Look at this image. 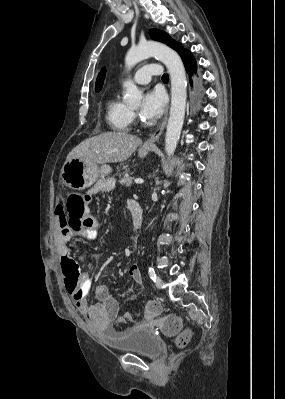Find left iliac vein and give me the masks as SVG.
<instances>
[{"instance_id": "4c4485c4", "label": "left iliac vein", "mask_w": 285, "mask_h": 399, "mask_svg": "<svg viewBox=\"0 0 285 399\" xmlns=\"http://www.w3.org/2000/svg\"><path fill=\"white\" fill-rule=\"evenodd\" d=\"M155 284H156L157 288H161V286H162V279H161L159 276L156 277Z\"/></svg>"}]
</instances>
